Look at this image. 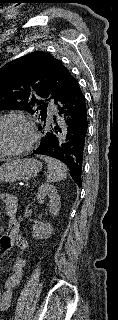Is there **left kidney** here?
Wrapping results in <instances>:
<instances>
[{
  "instance_id": "5707ae66",
  "label": "left kidney",
  "mask_w": 118,
  "mask_h": 320,
  "mask_svg": "<svg viewBox=\"0 0 118 320\" xmlns=\"http://www.w3.org/2000/svg\"><path fill=\"white\" fill-rule=\"evenodd\" d=\"M37 200L40 203L44 202V199H49V212L52 216H58L61 207L60 196L55 186L50 184H43L39 187L36 194ZM51 231L49 223H43L33 226V237L37 239L45 238Z\"/></svg>"
}]
</instances>
